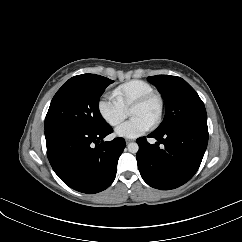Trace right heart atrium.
I'll return each mask as SVG.
<instances>
[{
  "instance_id": "obj_1",
  "label": "right heart atrium",
  "mask_w": 242,
  "mask_h": 242,
  "mask_svg": "<svg viewBox=\"0 0 242 242\" xmlns=\"http://www.w3.org/2000/svg\"><path fill=\"white\" fill-rule=\"evenodd\" d=\"M101 117L111 126L121 123L127 116V110L119 103L114 95H105L98 102Z\"/></svg>"
}]
</instances>
